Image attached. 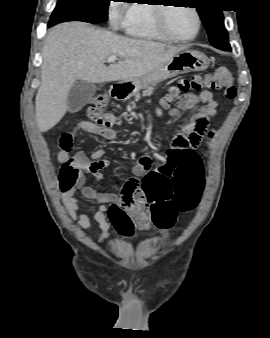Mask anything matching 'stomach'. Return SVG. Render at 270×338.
Returning a JSON list of instances; mask_svg holds the SVG:
<instances>
[{
	"label": "stomach",
	"instance_id": "stomach-1",
	"mask_svg": "<svg viewBox=\"0 0 270 338\" xmlns=\"http://www.w3.org/2000/svg\"><path fill=\"white\" fill-rule=\"evenodd\" d=\"M209 66L208 58L194 50L185 49L151 72L121 85L125 94H132L166 79L193 71H204Z\"/></svg>",
	"mask_w": 270,
	"mask_h": 338
}]
</instances>
